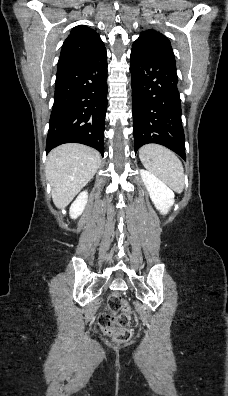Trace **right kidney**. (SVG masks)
<instances>
[{"label":"right kidney","instance_id":"obj_1","mask_svg":"<svg viewBox=\"0 0 228 396\" xmlns=\"http://www.w3.org/2000/svg\"><path fill=\"white\" fill-rule=\"evenodd\" d=\"M87 201H88V192L87 191L81 192L70 206L69 213L71 218L76 219L79 215L83 213Z\"/></svg>","mask_w":228,"mask_h":396}]
</instances>
